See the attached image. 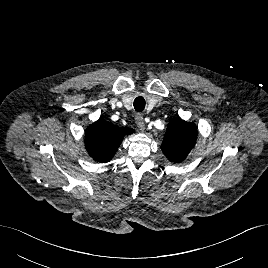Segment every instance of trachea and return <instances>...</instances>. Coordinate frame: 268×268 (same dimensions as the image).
Listing matches in <instances>:
<instances>
[{"label": "trachea", "mask_w": 268, "mask_h": 268, "mask_svg": "<svg viewBox=\"0 0 268 268\" xmlns=\"http://www.w3.org/2000/svg\"><path fill=\"white\" fill-rule=\"evenodd\" d=\"M134 109L135 111L137 112H142L145 108V100L142 96H139L137 97L135 100H134Z\"/></svg>", "instance_id": "obj_1"}]
</instances>
